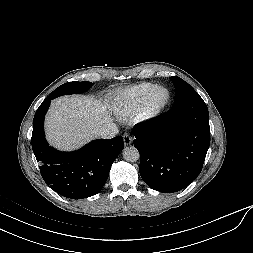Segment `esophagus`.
<instances>
[{
    "label": "esophagus",
    "instance_id": "1",
    "mask_svg": "<svg viewBox=\"0 0 253 253\" xmlns=\"http://www.w3.org/2000/svg\"><path fill=\"white\" fill-rule=\"evenodd\" d=\"M123 141L125 145H130L133 141V137L130 134H124L123 135Z\"/></svg>",
    "mask_w": 253,
    "mask_h": 253
}]
</instances>
